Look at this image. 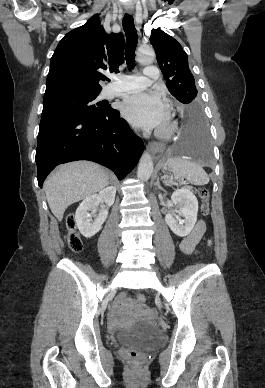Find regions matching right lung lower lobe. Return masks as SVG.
Instances as JSON below:
<instances>
[{"label": "right lung lower lobe", "instance_id": "1", "mask_svg": "<svg viewBox=\"0 0 265 388\" xmlns=\"http://www.w3.org/2000/svg\"><path fill=\"white\" fill-rule=\"evenodd\" d=\"M120 112L111 107L104 113H61L41 119L35 161L38 185L57 165L91 160L113 170L121 180L137 164L143 141Z\"/></svg>", "mask_w": 265, "mask_h": 388}]
</instances>
